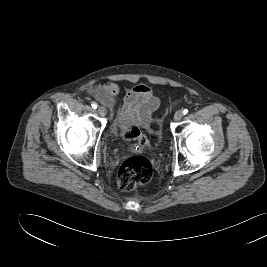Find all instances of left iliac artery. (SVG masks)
Instances as JSON below:
<instances>
[{
    "label": "left iliac artery",
    "mask_w": 267,
    "mask_h": 267,
    "mask_svg": "<svg viewBox=\"0 0 267 267\" xmlns=\"http://www.w3.org/2000/svg\"><path fill=\"white\" fill-rule=\"evenodd\" d=\"M189 111L187 109L183 110V114L186 115Z\"/></svg>",
    "instance_id": "obj_1"
}]
</instances>
